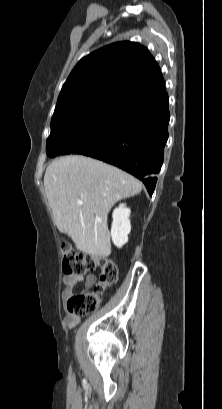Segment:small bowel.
I'll list each match as a JSON object with an SVG mask.
<instances>
[{"mask_svg":"<svg viewBox=\"0 0 222 409\" xmlns=\"http://www.w3.org/2000/svg\"><path fill=\"white\" fill-rule=\"evenodd\" d=\"M96 281L94 274L79 275V274H65L63 277L64 289L61 293V298L67 301L70 297L74 295V289L78 283H84V289H90ZM80 321L78 316L67 314L64 318V324L67 328L71 329L76 326Z\"/></svg>","mask_w":222,"mask_h":409,"instance_id":"c3829d8e","label":"small bowel"}]
</instances>
